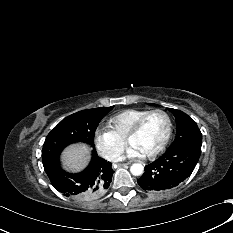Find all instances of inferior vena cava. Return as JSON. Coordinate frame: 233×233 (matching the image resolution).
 I'll return each mask as SVG.
<instances>
[{
  "label": "inferior vena cava",
  "instance_id": "obj_1",
  "mask_svg": "<svg viewBox=\"0 0 233 233\" xmlns=\"http://www.w3.org/2000/svg\"><path fill=\"white\" fill-rule=\"evenodd\" d=\"M112 160H113V161H118V160H120V157L114 156V157L112 158Z\"/></svg>",
  "mask_w": 233,
  "mask_h": 233
}]
</instances>
